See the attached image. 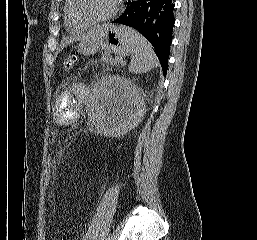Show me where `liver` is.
Returning <instances> with one entry per match:
<instances>
[{
    "instance_id": "liver-1",
    "label": "liver",
    "mask_w": 257,
    "mask_h": 240,
    "mask_svg": "<svg viewBox=\"0 0 257 240\" xmlns=\"http://www.w3.org/2000/svg\"><path fill=\"white\" fill-rule=\"evenodd\" d=\"M105 24L103 25H98L96 26L95 28L91 29L87 34H83V35H80V36H74V37H70V38H67L64 40V42L62 43V46L61 48H64L65 46L69 45L70 43H74L76 41H83L85 40L86 38L92 36V35H95L98 33V31L104 26Z\"/></svg>"
}]
</instances>
